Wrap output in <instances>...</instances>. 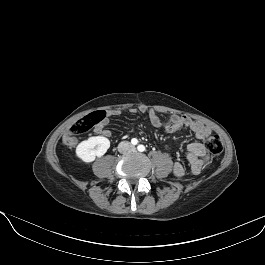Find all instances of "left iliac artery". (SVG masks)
I'll use <instances>...</instances> for the list:
<instances>
[{
  "mask_svg": "<svg viewBox=\"0 0 265 265\" xmlns=\"http://www.w3.org/2000/svg\"><path fill=\"white\" fill-rule=\"evenodd\" d=\"M137 149H138L140 152H143V151H145V146H144V145H139V146L137 147Z\"/></svg>",
  "mask_w": 265,
  "mask_h": 265,
  "instance_id": "1",
  "label": "left iliac artery"
}]
</instances>
